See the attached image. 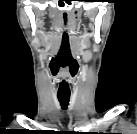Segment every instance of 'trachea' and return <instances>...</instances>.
Segmentation results:
<instances>
[{"mask_svg":"<svg viewBox=\"0 0 137 134\" xmlns=\"http://www.w3.org/2000/svg\"><path fill=\"white\" fill-rule=\"evenodd\" d=\"M70 95H58V100L61 104L62 109L66 110L69 105Z\"/></svg>","mask_w":137,"mask_h":134,"instance_id":"3493384b","label":"trachea"}]
</instances>
